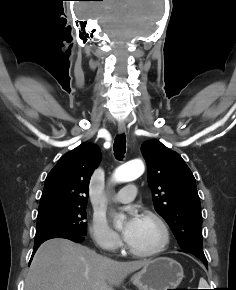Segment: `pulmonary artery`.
Returning <instances> with one entry per match:
<instances>
[{"label": "pulmonary artery", "mask_w": 236, "mask_h": 290, "mask_svg": "<svg viewBox=\"0 0 236 290\" xmlns=\"http://www.w3.org/2000/svg\"><path fill=\"white\" fill-rule=\"evenodd\" d=\"M136 194V186L134 184H128L113 197V200L119 203H128L135 198Z\"/></svg>", "instance_id": "obj_1"}]
</instances>
